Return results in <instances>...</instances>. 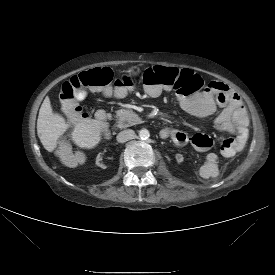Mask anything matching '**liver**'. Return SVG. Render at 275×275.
Instances as JSON below:
<instances>
[{
  "label": "liver",
  "instance_id": "liver-1",
  "mask_svg": "<svg viewBox=\"0 0 275 275\" xmlns=\"http://www.w3.org/2000/svg\"><path fill=\"white\" fill-rule=\"evenodd\" d=\"M109 123L97 119H82L69 134L71 140L80 148L92 149L101 141L102 132L108 129ZM65 118L54 113L50 99H44L37 119V134L44 148L52 152L58 140L68 130Z\"/></svg>",
  "mask_w": 275,
  "mask_h": 275
}]
</instances>
